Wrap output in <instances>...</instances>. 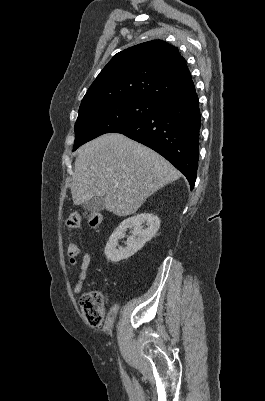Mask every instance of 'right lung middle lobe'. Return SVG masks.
Instances as JSON below:
<instances>
[{"label": "right lung middle lobe", "mask_w": 265, "mask_h": 401, "mask_svg": "<svg viewBox=\"0 0 265 401\" xmlns=\"http://www.w3.org/2000/svg\"><path fill=\"white\" fill-rule=\"evenodd\" d=\"M159 102L141 98L105 99L79 108L75 151L82 144L153 114Z\"/></svg>", "instance_id": "1"}]
</instances>
